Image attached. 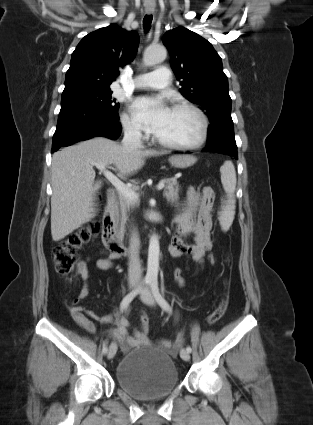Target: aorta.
Instances as JSON below:
<instances>
[{
	"mask_svg": "<svg viewBox=\"0 0 313 425\" xmlns=\"http://www.w3.org/2000/svg\"><path fill=\"white\" fill-rule=\"evenodd\" d=\"M167 51L163 46L148 48L143 56V62L146 66H152L166 59ZM160 246L156 235H152L148 248L147 274L148 279L156 280L159 270Z\"/></svg>",
	"mask_w": 313,
	"mask_h": 425,
	"instance_id": "762f6f07",
	"label": "aorta"
}]
</instances>
